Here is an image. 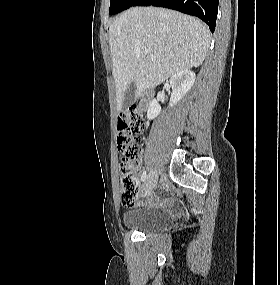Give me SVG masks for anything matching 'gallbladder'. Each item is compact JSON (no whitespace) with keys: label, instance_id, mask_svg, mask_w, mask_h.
<instances>
[{"label":"gallbladder","instance_id":"bac80fb5","mask_svg":"<svg viewBox=\"0 0 280 285\" xmlns=\"http://www.w3.org/2000/svg\"><path fill=\"white\" fill-rule=\"evenodd\" d=\"M135 92H136V86L134 82H131L129 86L127 87L125 94H124V102L122 109L128 108L130 105H132L135 101Z\"/></svg>","mask_w":280,"mask_h":285}]
</instances>
